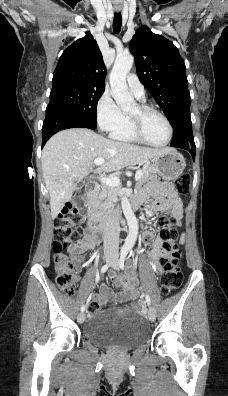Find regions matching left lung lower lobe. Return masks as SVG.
I'll use <instances>...</instances> for the list:
<instances>
[{
	"instance_id": "1",
	"label": "left lung lower lobe",
	"mask_w": 228,
	"mask_h": 396,
	"mask_svg": "<svg viewBox=\"0 0 228 396\" xmlns=\"http://www.w3.org/2000/svg\"><path fill=\"white\" fill-rule=\"evenodd\" d=\"M180 122L173 125L174 134L170 146L178 147L189 151L195 160L196 146L192 133V122L190 110H183L180 116Z\"/></svg>"
}]
</instances>
